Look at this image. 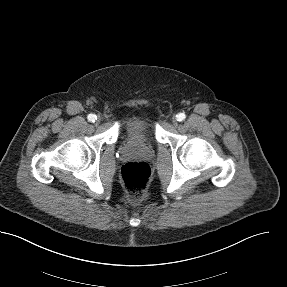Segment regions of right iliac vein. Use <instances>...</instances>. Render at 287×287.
<instances>
[{
	"label": "right iliac vein",
	"mask_w": 287,
	"mask_h": 287,
	"mask_svg": "<svg viewBox=\"0 0 287 287\" xmlns=\"http://www.w3.org/2000/svg\"><path fill=\"white\" fill-rule=\"evenodd\" d=\"M100 121H101L100 117L96 118V121H95L96 125H98L100 123Z\"/></svg>",
	"instance_id": "obj_1"
}]
</instances>
